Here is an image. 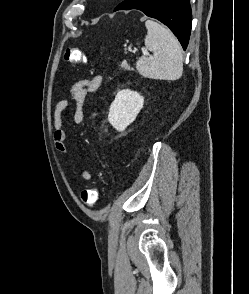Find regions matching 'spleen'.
<instances>
[{
    "mask_svg": "<svg viewBox=\"0 0 249 294\" xmlns=\"http://www.w3.org/2000/svg\"><path fill=\"white\" fill-rule=\"evenodd\" d=\"M145 46L153 56H142L136 63L137 71L143 77L174 81L183 73V56L179 41L163 25L147 20Z\"/></svg>",
    "mask_w": 249,
    "mask_h": 294,
    "instance_id": "1",
    "label": "spleen"
}]
</instances>
